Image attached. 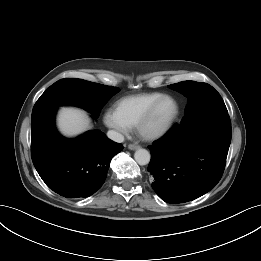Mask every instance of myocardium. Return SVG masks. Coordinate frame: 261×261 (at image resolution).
<instances>
[{"label": "myocardium", "mask_w": 261, "mask_h": 261, "mask_svg": "<svg viewBox=\"0 0 261 261\" xmlns=\"http://www.w3.org/2000/svg\"><path fill=\"white\" fill-rule=\"evenodd\" d=\"M171 101L173 103V111L169 117L158 127L150 129L149 125L153 120L158 108L164 101ZM179 114V104L177 100L170 95H162L158 98L144 113L136 124V131L138 135L144 140H156L164 136L173 126Z\"/></svg>", "instance_id": "myocardium-1"}]
</instances>
